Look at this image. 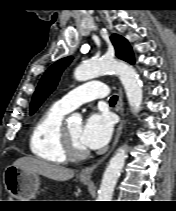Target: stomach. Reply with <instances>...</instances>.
Here are the masks:
<instances>
[{
  "label": "stomach",
  "instance_id": "obj_1",
  "mask_svg": "<svg viewBox=\"0 0 176 211\" xmlns=\"http://www.w3.org/2000/svg\"><path fill=\"white\" fill-rule=\"evenodd\" d=\"M83 184L89 181L80 179ZM3 182L8 193L18 201H31L35 198L40 178L36 173L26 172L15 166H8L3 174Z\"/></svg>",
  "mask_w": 176,
  "mask_h": 211
}]
</instances>
